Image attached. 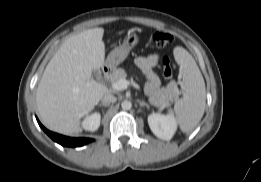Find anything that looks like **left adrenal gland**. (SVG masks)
<instances>
[{"label": "left adrenal gland", "instance_id": "1", "mask_svg": "<svg viewBox=\"0 0 261 182\" xmlns=\"http://www.w3.org/2000/svg\"><path fill=\"white\" fill-rule=\"evenodd\" d=\"M139 105L141 107L146 106L147 108H149V105L147 103H145V102H139Z\"/></svg>", "mask_w": 261, "mask_h": 182}]
</instances>
